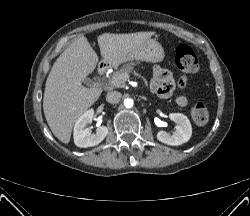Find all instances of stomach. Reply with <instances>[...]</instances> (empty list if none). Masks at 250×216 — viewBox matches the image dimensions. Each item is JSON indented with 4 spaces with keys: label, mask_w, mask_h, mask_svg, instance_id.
Returning <instances> with one entry per match:
<instances>
[{
    "label": "stomach",
    "mask_w": 250,
    "mask_h": 216,
    "mask_svg": "<svg viewBox=\"0 0 250 216\" xmlns=\"http://www.w3.org/2000/svg\"><path fill=\"white\" fill-rule=\"evenodd\" d=\"M165 58L162 46L155 40L148 39L138 47L119 55L111 64L117 66L120 63L142 60L146 62L159 63Z\"/></svg>",
    "instance_id": "1"
}]
</instances>
